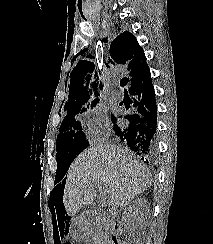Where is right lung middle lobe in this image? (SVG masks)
<instances>
[{
  "mask_svg": "<svg viewBox=\"0 0 213 244\" xmlns=\"http://www.w3.org/2000/svg\"><path fill=\"white\" fill-rule=\"evenodd\" d=\"M98 101L99 100L93 101L91 107L95 106ZM65 111H67V114L60 126V133L57 136L56 142L58 166L55 183H58L63 178L76 155L89 145L84 132H82L79 118L80 114L86 111V108H84L83 105H78Z\"/></svg>",
  "mask_w": 213,
  "mask_h": 244,
  "instance_id": "right-lung-middle-lobe-1",
  "label": "right lung middle lobe"
}]
</instances>
